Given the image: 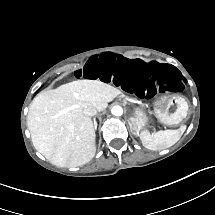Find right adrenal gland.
<instances>
[{"mask_svg": "<svg viewBox=\"0 0 215 215\" xmlns=\"http://www.w3.org/2000/svg\"><path fill=\"white\" fill-rule=\"evenodd\" d=\"M93 123H94V130H96L97 129V124H96L95 119H93Z\"/></svg>", "mask_w": 215, "mask_h": 215, "instance_id": "obj_1", "label": "right adrenal gland"}]
</instances>
